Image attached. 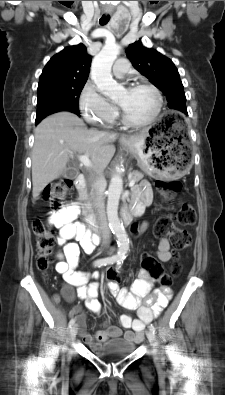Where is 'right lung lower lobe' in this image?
I'll return each instance as SVG.
<instances>
[{"label": "right lung lower lobe", "mask_w": 225, "mask_h": 395, "mask_svg": "<svg viewBox=\"0 0 225 395\" xmlns=\"http://www.w3.org/2000/svg\"><path fill=\"white\" fill-rule=\"evenodd\" d=\"M60 111H72V112H74L76 115L80 116V113H79V110H78V109L65 108V109H62V110H60ZM42 119H43V118H41V119H36L35 124L37 125Z\"/></svg>", "instance_id": "obj_1"}]
</instances>
